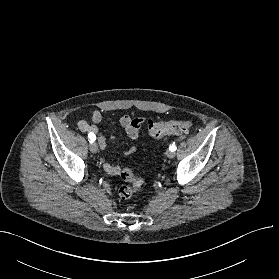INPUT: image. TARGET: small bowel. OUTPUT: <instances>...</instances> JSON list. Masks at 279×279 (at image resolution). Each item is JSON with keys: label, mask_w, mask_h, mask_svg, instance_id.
I'll return each instance as SVG.
<instances>
[{"label": "small bowel", "mask_w": 279, "mask_h": 279, "mask_svg": "<svg viewBox=\"0 0 279 279\" xmlns=\"http://www.w3.org/2000/svg\"><path fill=\"white\" fill-rule=\"evenodd\" d=\"M103 116L100 111L95 110L91 116V123L85 120L78 122V129L82 132L93 133L97 137L98 144L102 150H105L112 137L107 138L99 129V124L102 122ZM146 119L142 117L134 118L130 115H123L119 118V123L125 129L127 136L136 141L139 138L140 130L145 124ZM135 147H129L124 150V156H129L135 152ZM103 169L110 175H117L120 172V167L116 164L107 162L101 159Z\"/></svg>", "instance_id": "small-bowel-1"}]
</instances>
